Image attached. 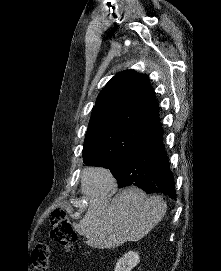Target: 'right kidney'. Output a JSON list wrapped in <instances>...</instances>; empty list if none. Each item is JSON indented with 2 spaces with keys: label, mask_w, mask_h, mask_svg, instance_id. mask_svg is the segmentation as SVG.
<instances>
[{
  "label": "right kidney",
  "mask_w": 221,
  "mask_h": 271,
  "mask_svg": "<svg viewBox=\"0 0 221 271\" xmlns=\"http://www.w3.org/2000/svg\"><path fill=\"white\" fill-rule=\"evenodd\" d=\"M140 261L139 251H127L117 259L114 271H131Z\"/></svg>",
  "instance_id": "obj_1"
}]
</instances>
